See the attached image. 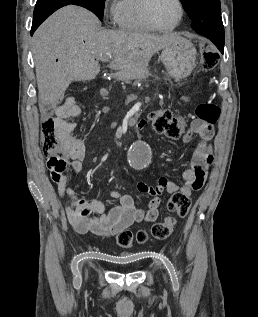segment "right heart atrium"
Listing matches in <instances>:
<instances>
[{"instance_id":"obj_1","label":"right heart atrium","mask_w":258,"mask_h":317,"mask_svg":"<svg viewBox=\"0 0 258 317\" xmlns=\"http://www.w3.org/2000/svg\"><path fill=\"white\" fill-rule=\"evenodd\" d=\"M104 16L111 24H117V0L107 1L103 6Z\"/></svg>"}]
</instances>
